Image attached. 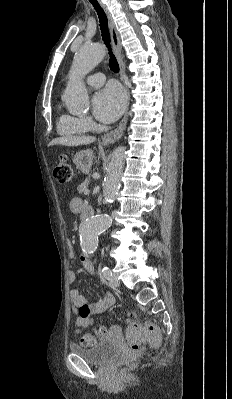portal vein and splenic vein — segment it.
Wrapping results in <instances>:
<instances>
[{
  "mask_svg": "<svg viewBox=\"0 0 232 399\" xmlns=\"http://www.w3.org/2000/svg\"><path fill=\"white\" fill-rule=\"evenodd\" d=\"M89 192H90V190H85V192H84L85 196H88Z\"/></svg>",
  "mask_w": 232,
  "mask_h": 399,
  "instance_id": "18ae733b",
  "label": "portal vein and splenic vein"
}]
</instances>
